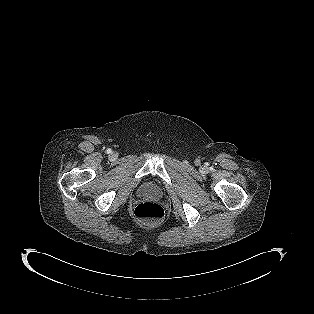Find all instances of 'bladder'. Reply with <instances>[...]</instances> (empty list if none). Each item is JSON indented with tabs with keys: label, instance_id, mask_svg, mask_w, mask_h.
Here are the masks:
<instances>
[{
	"label": "bladder",
	"instance_id": "bladder-1",
	"mask_svg": "<svg viewBox=\"0 0 314 314\" xmlns=\"http://www.w3.org/2000/svg\"><path fill=\"white\" fill-rule=\"evenodd\" d=\"M148 191L152 193L154 192V189L149 188Z\"/></svg>",
	"mask_w": 314,
	"mask_h": 314
}]
</instances>
